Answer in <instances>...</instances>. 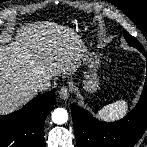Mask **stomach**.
<instances>
[{"label": "stomach", "mask_w": 147, "mask_h": 147, "mask_svg": "<svg viewBox=\"0 0 147 147\" xmlns=\"http://www.w3.org/2000/svg\"><path fill=\"white\" fill-rule=\"evenodd\" d=\"M88 54V53H87ZM83 64H85L86 66H88V68H90L89 71H85L83 72V85H84V89L90 93L96 91L97 87H98V79H97V69L100 66V61L97 58L96 55H90V57H88V55L86 56V58L83 61Z\"/></svg>", "instance_id": "stomach-1"}]
</instances>
